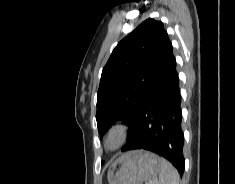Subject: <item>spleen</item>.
Wrapping results in <instances>:
<instances>
[{
    "instance_id": "1",
    "label": "spleen",
    "mask_w": 235,
    "mask_h": 184,
    "mask_svg": "<svg viewBox=\"0 0 235 184\" xmlns=\"http://www.w3.org/2000/svg\"><path fill=\"white\" fill-rule=\"evenodd\" d=\"M160 172H159V180L156 184H179V174L167 160L164 158H160Z\"/></svg>"
}]
</instances>
